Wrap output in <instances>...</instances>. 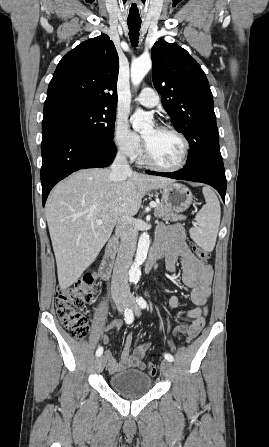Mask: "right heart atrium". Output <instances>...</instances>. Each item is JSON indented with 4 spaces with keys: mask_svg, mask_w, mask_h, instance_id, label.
Wrapping results in <instances>:
<instances>
[{
    "mask_svg": "<svg viewBox=\"0 0 269 447\" xmlns=\"http://www.w3.org/2000/svg\"><path fill=\"white\" fill-rule=\"evenodd\" d=\"M114 142L119 150L132 159L142 154V139L136 132L128 127L127 119L118 115L114 124Z\"/></svg>",
    "mask_w": 269,
    "mask_h": 447,
    "instance_id": "1",
    "label": "right heart atrium"
}]
</instances>
